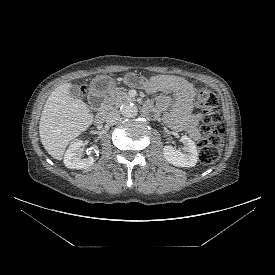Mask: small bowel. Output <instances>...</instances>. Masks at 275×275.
Masks as SVG:
<instances>
[{
	"instance_id": "small-bowel-1",
	"label": "small bowel",
	"mask_w": 275,
	"mask_h": 275,
	"mask_svg": "<svg viewBox=\"0 0 275 275\" xmlns=\"http://www.w3.org/2000/svg\"><path fill=\"white\" fill-rule=\"evenodd\" d=\"M127 82L140 86L149 93L170 92L172 96L162 95L150 106L154 112H165L164 120L173 129L186 132L193 139L200 137L201 114H194V86L186 79L175 75H158L143 78L130 74Z\"/></svg>"
}]
</instances>
